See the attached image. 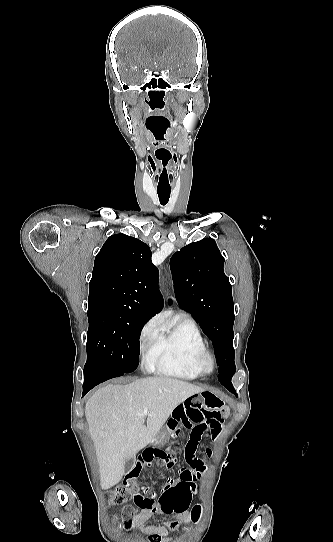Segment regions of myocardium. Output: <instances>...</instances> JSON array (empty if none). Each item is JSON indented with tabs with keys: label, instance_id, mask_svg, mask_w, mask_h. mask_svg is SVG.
Segmentation results:
<instances>
[{
	"label": "myocardium",
	"instance_id": "myocardium-1",
	"mask_svg": "<svg viewBox=\"0 0 333 542\" xmlns=\"http://www.w3.org/2000/svg\"><path fill=\"white\" fill-rule=\"evenodd\" d=\"M196 364L201 374H211L215 371L216 360L214 355L207 349L202 350L197 358Z\"/></svg>",
	"mask_w": 333,
	"mask_h": 542
}]
</instances>
